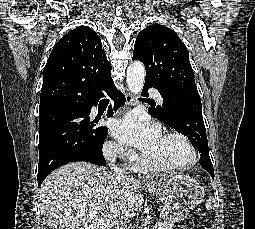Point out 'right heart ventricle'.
Listing matches in <instances>:
<instances>
[{"label": "right heart ventricle", "mask_w": 255, "mask_h": 229, "mask_svg": "<svg viewBox=\"0 0 255 229\" xmlns=\"http://www.w3.org/2000/svg\"><path fill=\"white\" fill-rule=\"evenodd\" d=\"M130 168L136 172H145L150 169V167L142 160H134V162L130 165Z\"/></svg>", "instance_id": "1"}]
</instances>
